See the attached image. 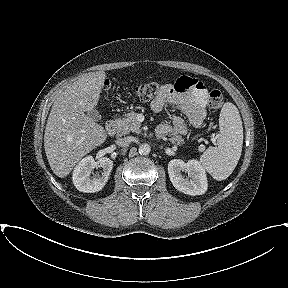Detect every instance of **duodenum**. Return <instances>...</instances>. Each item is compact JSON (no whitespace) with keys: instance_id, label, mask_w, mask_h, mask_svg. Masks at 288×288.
Listing matches in <instances>:
<instances>
[{"instance_id":"duodenum-1","label":"duodenum","mask_w":288,"mask_h":288,"mask_svg":"<svg viewBox=\"0 0 288 288\" xmlns=\"http://www.w3.org/2000/svg\"><path fill=\"white\" fill-rule=\"evenodd\" d=\"M118 123L115 117L109 119L106 123V130L109 135H114L117 131Z\"/></svg>"}]
</instances>
